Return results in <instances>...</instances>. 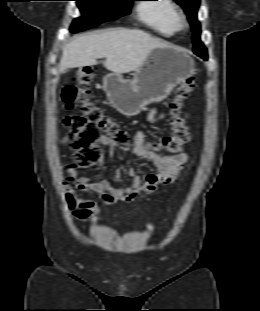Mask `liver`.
<instances>
[{
  "label": "liver",
  "mask_w": 260,
  "mask_h": 311,
  "mask_svg": "<svg viewBox=\"0 0 260 311\" xmlns=\"http://www.w3.org/2000/svg\"><path fill=\"white\" fill-rule=\"evenodd\" d=\"M168 45L136 29L117 28L80 35L67 44L60 60V72L68 68L92 66L106 58L104 66L122 74L137 70L150 52Z\"/></svg>",
  "instance_id": "6515ba94"
}]
</instances>
